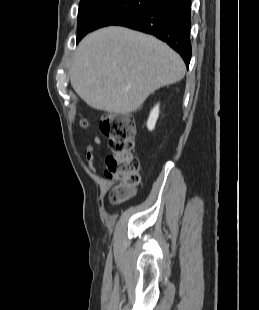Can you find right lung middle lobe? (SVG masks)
<instances>
[{"mask_svg":"<svg viewBox=\"0 0 259 310\" xmlns=\"http://www.w3.org/2000/svg\"><path fill=\"white\" fill-rule=\"evenodd\" d=\"M157 0H105L79 8L77 42L98 28L114 25L119 20L153 5Z\"/></svg>","mask_w":259,"mask_h":310,"instance_id":"dd1d6c3e","label":"right lung middle lobe"}]
</instances>
